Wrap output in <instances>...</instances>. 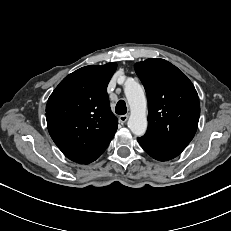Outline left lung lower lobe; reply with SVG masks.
Instances as JSON below:
<instances>
[{
	"mask_svg": "<svg viewBox=\"0 0 231 231\" xmlns=\"http://www.w3.org/2000/svg\"><path fill=\"white\" fill-rule=\"evenodd\" d=\"M141 147L154 159L159 161H167L178 156L182 151L164 145L149 136L137 138Z\"/></svg>",
	"mask_w": 231,
	"mask_h": 231,
	"instance_id": "0a47b994",
	"label": "left lung lower lobe"
}]
</instances>
